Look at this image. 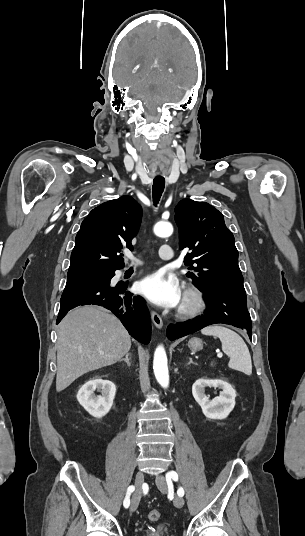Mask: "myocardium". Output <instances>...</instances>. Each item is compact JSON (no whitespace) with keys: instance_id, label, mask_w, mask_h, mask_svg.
Wrapping results in <instances>:
<instances>
[{"instance_id":"obj_1","label":"myocardium","mask_w":305,"mask_h":536,"mask_svg":"<svg viewBox=\"0 0 305 536\" xmlns=\"http://www.w3.org/2000/svg\"><path fill=\"white\" fill-rule=\"evenodd\" d=\"M208 305L205 291L198 285L188 284L183 292L182 302L177 310L180 318H191L202 313Z\"/></svg>"}]
</instances>
